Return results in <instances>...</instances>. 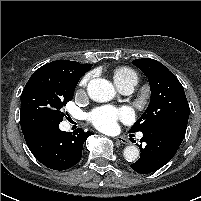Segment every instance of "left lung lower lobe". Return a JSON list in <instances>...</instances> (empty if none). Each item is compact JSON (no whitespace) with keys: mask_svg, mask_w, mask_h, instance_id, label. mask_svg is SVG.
<instances>
[{"mask_svg":"<svg viewBox=\"0 0 201 201\" xmlns=\"http://www.w3.org/2000/svg\"><path fill=\"white\" fill-rule=\"evenodd\" d=\"M187 129V123L170 121L154 125L143 131L138 145L140 159L130 167L141 174L154 172L167 164L176 154ZM142 142L146 143L142 147Z\"/></svg>","mask_w":201,"mask_h":201,"instance_id":"obj_1","label":"left lung lower lobe"}]
</instances>
